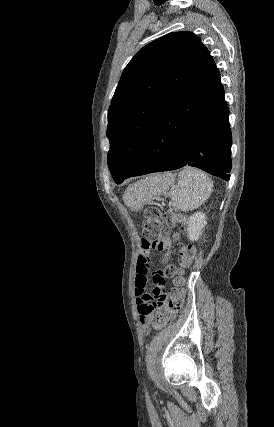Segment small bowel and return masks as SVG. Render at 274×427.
Listing matches in <instances>:
<instances>
[{
    "label": "small bowel",
    "mask_w": 274,
    "mask_h": 427,
    "mask_svg": "<svg viewBox=\"0 0 274 427\" xmlns=\"http://www.w3.org/2000/svg\"><path fill=\"white\" fill-rule=\"evenodd\" d=\"M138 250L140 252L138 255L136 275L134 280V294L136 297L138 321L142 327L143 332L147 333L150 329V325L153 326V323L150 321V316L151 314H155V305H160L163 301H165L167 298L165 294H168L170 291L169 286L165 282V278H173L177 273L175 270H173L175 266L174 263L170 261L166 265L168 269H165L164 271L163 269H154L153 275H150L149 278L147 277V271L149 270V254L147 252H166L167 256H172L174 247L171 244H141L138 247ZM154 262L158 263L159 259L155 258ZM148 281L150 284L155 285L152 289L153 293H149L146 290ZM158 293H161L158 297L159 299L156 297V294Z\"/></svg>",
    "instance_id": "obj_1"
}]
</instances>
